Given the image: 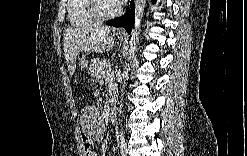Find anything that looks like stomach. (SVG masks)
I'll return each instance as SVG.
<instances>
[{
    "mask_svg": "<svg viewBox=\"0 0 247 156\" xmlns=\"http://www.w3.org/2000/svg\"><path fill=\"white\" fill-rule=\"evenodd\" d=\"M118 38H119L120 40H123V37H122V36H118ZM98 62H99L98 59H95V60L91 61L90 69H91L92 67H94L96 64H98ZM79 66H80L81 68L87 67V66H88V61H87L84 57H79Z\"/></svg>",
    "mask_w": 247,
    "mask_h": 156,
    "instance_id": "obj_1",
    "label": "stomach"
}]
</instances>
